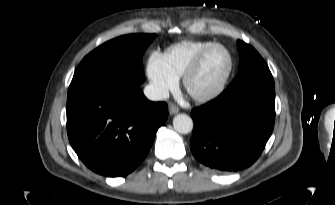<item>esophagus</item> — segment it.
Returning a JSON list of instances; mask_svg holds the SVG:
<instances>
[{
    "mask_svg": "<svg viewBox=\"0 0 335 205\" xmlns=\"http://www.w3.org/2000/svg\"><path fill=\"white\" fill-rule=\"evenodd\" d=\"M179 112V108L176 106V105H174V104H170L169 105V113L170 114H177Z\"/></svg>",
    "mask_w": 335,
    "mask_h": 205,
    "instance_id": "34e87169",
    "label": "esophagus"
}]
</instances>
